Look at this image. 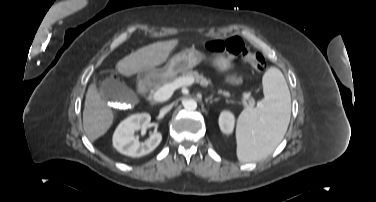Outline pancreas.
<instances>
[{
    "label": "pancreas",
    "instance_id": "cf45deb5",
    "mask_svg": "<svg viewBox=\"0 0 376 202\" xmlns=\"http://www.w3.org/2000/svg\"><path fill=\"white\" fill-rule=\"evenodd\" d=\"M186 77L193 78L197 83H199L203 87H207L208 85H212V82L210 80L206 79L203 75L198 74L197 71L188 70V71L183 72L181 76L176 77L174 79H171L169 77L159 78L157 81L153 82L150 85V87H151L150 93L154 94L162 86H164L166 84H170L178 78H186ZM218 93L223 94L226 97L230 96V94L227 91L219 90ZM255 103L256 102L253 98H245L244 95H243L242 104L245 108H253Z\"/></svg>",
    "mask_w": 376,
    "mask_h": 202
}]
</instances>
